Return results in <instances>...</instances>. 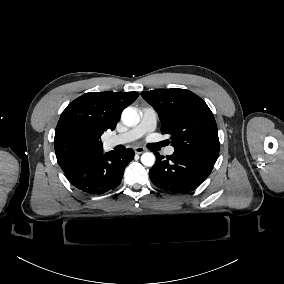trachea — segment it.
I'll return each mask as SVG.
<instances>
[{"instance_id":"trachea-1","label":"trachea","mask_w":284,"mask_h":284,"mask_svg":"<svg viewBox=\"0 0 284 284\" xmlns=\"http://www.w3.org/2000/svg\"><path fill=\"white\" fill-rule=\"evenodd\" d=\"M169 144V140H165L159 143L154 144L153 150H159L161 147L166 146Z\"/></svg>"}]
</instances>
